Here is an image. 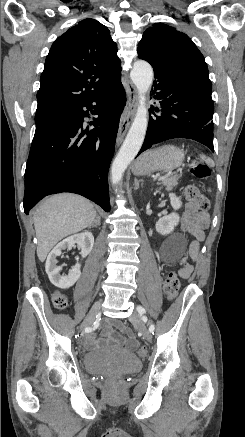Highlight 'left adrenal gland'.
I'll return each mask as SVG.
<instances>
[{"label": "left adrenal gland", "mask_w": 245, "mask_h": 437, "mask_svg": "<svg viewBox=\"0 0 245 437\" xmlns=\"http://www.w3.org/2000/svg\"><path fill=\"white\" fill-rule=\"evenodd\" d=\"M140 182H143V180H138L137 178L134 179V190H138Z\"/></svg>", "instance_id": "left-adrenal-gland-1"}]
</instances>
